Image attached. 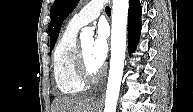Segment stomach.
<instances>
[{"label": "stomach", "mask_w": 193, "mask_h": 112, "mask_svg": "<svg viewBox=\"0 0 193 112\" xmlns=\"http://www.w3.org/2000/svg\"><path fill=\"white\" fill-rule=\"evenodd\" d=\"M98 108H99V105L94 102V103H93L94 112H97Z\"/></svg>", "instance_id": "1"}]
</instances>
